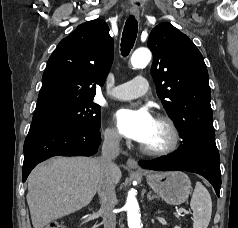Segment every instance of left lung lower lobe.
Instances as JSON below:
<instances>
[{
    "mask_svg": "<svg viewBox=\"0 0 238 228\" xmlns=\"http://www.w3.org/2000/svg\"><path fill=\"white\" fill-rule=\"evenodd\" d=\"M145 169L156 171H188L202 175L214 187L219 197L221 186L220 156L215 142L198 148L193 154L181 157L178 152L151 161H139Z\"/></svg>",
    "mask_w": 238,
    "mask_h": 228,
    "instance_id": "left-lung-lower-lobe-1",
    "label": "left lung lower lobe"
}]
</instances>
